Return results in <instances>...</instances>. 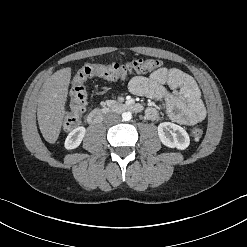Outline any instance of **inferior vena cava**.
I'll return each mask as SVG.
<instances>
[{
	"label": "inferior vena cava",
	"instance_id": "inferior-vena-cava-1",
	"mask_svg": "<svg viewBox=\"0 0 247 247\" xmlns=\"http://www.w3.org/2000/svg\"><path fill=\"white\" fill-rule=\"evenodd\" d=\"M105 121L107 123H117L120 121V116L116 113H109L105 116Z\"/></svg>",
	"mask_w": 247,
	"mask_h": 247
}]
</instances>
